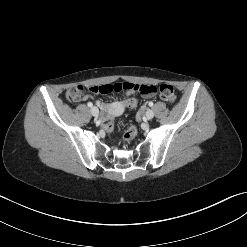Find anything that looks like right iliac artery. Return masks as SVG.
<instances>
[{"label":"right iliac artery","instance_id":"1","mask_svg":"<svg viewBox=\"0 0 247 247\" xmlns=\"http://www.w3.org/2000/svg\"><path fill=\"white\" fill-rule=\"evenodd\" d=\"M87 105H88V107H92L93 106V104L91 102H88Z\"/></svg>","mask_w":247,"mask_h":247}]
</instances>
